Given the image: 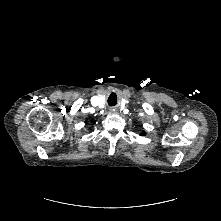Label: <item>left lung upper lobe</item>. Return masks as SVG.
Here are the masks:
<instances>
[{
    "instance_id": "left-lung-upper-lobe-1",
    "label": "left lung upper lobe",
    "mask_w": 221,
    "mask_h": 221,
    "mask_svg": "<svg viewBox=\"0 0 221 221\" xmlns=\"http://www.w3.org/2000/svg\"><path fill=\"white\" fill-rule=\"evenodd\" d=\"M141 136H144L145 135V131H142V133L140 134Z\"/></svg>"
}]
</instances>
